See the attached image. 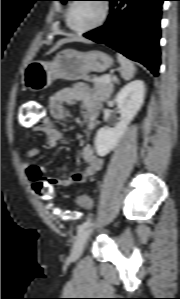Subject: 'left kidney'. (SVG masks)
I'll return each mask as SVG.
<instances>
[{
	"mask_svg": "<svg viewBox=\"0 0 180 299\" xmlns=\"http://www.w3.org/2000/svg\"><path fill=\"white\" fill-rule=\"evenodd\" d=\"M144 97L145 85L141 80L132 81L120 90L115 99L121 115L119 122L114 128H100L95 137L99 156H106L117 146L127 126L140 110Z\"/></svg>",
	"mask_w": 180,
	"mask_h": 299,
	"instance_id": "obj_1",
	"label": "left kidney"
}]
</instances>
